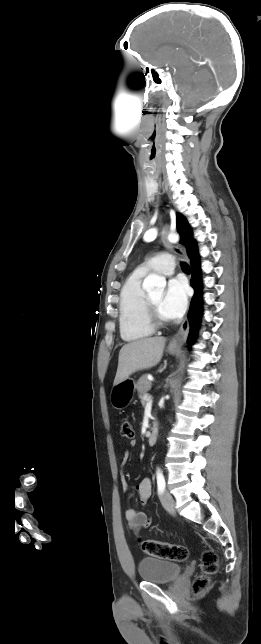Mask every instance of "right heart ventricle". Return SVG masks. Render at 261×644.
<instances>
[{
	"label": "right heart ventricle",
	"instance_id": "obj_1",
	"mask_svg": "<svg viewBox=\"0 0 261 644\" xmlns=\"http://www.w3.org/2000/svg\"><path fill=\"white\" fill-rule=\"evenodd\" d=\"M145 272L137 269L124 282L119 299V330L127 342L138 341L153 334L154 328L146 314V292L142 287Z\"/></svg>",
	"mask_w": 261,
	"mask_h": 644
}]
</instances>
